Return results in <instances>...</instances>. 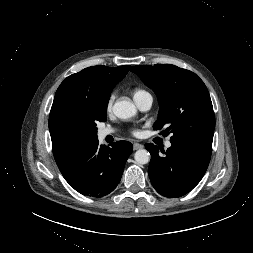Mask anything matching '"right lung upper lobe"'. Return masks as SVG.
<instances>
[{"instance_id":"cb5924a9","label":"right lung upper lobe","mask_w":253,"mask_h":253,"mask_svg":"<svg viewBox=\"0 0 253 253\" xmlns=\"http://www.w3.org/2000/svg\"><path fill=\"white\" fill-rule=\"evenodd\" d=\"M129 68L130 65L92 66L60 84L49 115L53 155L58 166L95 139L91 124L107 113L111 91Z\"/></svg>"}]
</instances>
